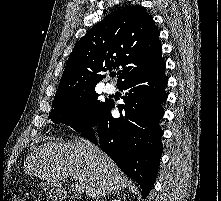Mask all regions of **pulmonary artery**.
Here are the masks:
<instances>
[{
    "mask_svg": "<svg viewBox=\"0 0 221 201\" xmlns=\"http://www.w3.org/2000/svg\"><path fill=\"white\" fill-rule=\"evenodd\" d=\"M104 89L107 93H113L115 91V87L112 84H106Z\"/></svg>",
    "mask_w": 221,
    "mask_h": 201,
    "instance_id": "pulmonary-artery-1",
    "label": "pulmonary artery"
}]
</instances>
